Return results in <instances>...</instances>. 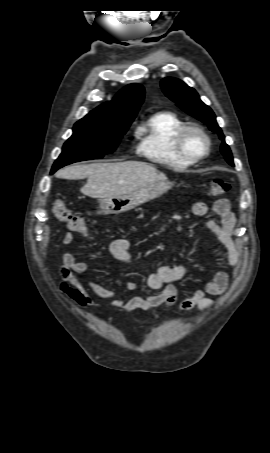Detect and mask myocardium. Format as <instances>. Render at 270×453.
Listing matches in <instances>:
<instances>
[{"label": "myocardium", "instance_id": "1", "mask_svg": "<svg viewBox=\"0 0 270 453\" xmlns=\"http://www.w3.org/2000/svg\"><path fill=\"white\" fill-rule=\"evenodd\" d=\"M189 133H197L201 135L206 142L205 150L198 155H193L189 153L185 147V138L186 135ZM174 147L177 153L182 156L184 159L191 161V162H198L204 158H206L211 151V139L207 132L200 127L199 125H184L181 127L174 137Z\"/></svg>", "mask_w": 270, "mask_h": 453}]
</instances>
